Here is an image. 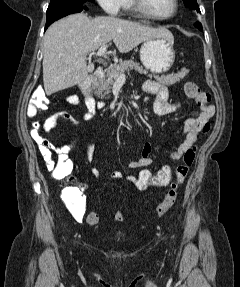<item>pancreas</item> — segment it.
Instances as JSON below:
<instances>
[{"instance_id":"pancreas-1","label":"pancreas","mask_w":240,"mask_h":287,"mask_svg":"<svg viewBox=\"0 0 240 287\" xmlns=\"http://www.w3.org/2000/svg\"><path fill=\"white\" fill-rule=\"evenodd\" d=\"M135 70L140 74H147L143 67L133 59L124 60L117 65H111L105 69V76L101 78L96 86L95 93L100 98H110V92L115 80L125 71ZM188 70L183 69L179 73L169 74L166 76L153 75L160 83L165 85H173L183 79ZM152 76V75H149Z\"/></svg>"}]
</instances>
